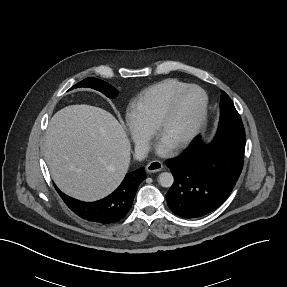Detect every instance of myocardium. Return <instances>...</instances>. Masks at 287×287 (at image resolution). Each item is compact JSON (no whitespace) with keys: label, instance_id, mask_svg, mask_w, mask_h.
<instances>
[{"label":"myocardium","instance_id":"f54148a6","mask_svg":"<svg viewBox=\"0 0 287 287\" xmlns=\"http://www.w3.org/2000/svg\"><path fill=\"white\" fill-rule=\"evenodd\" d=\"M189 91H198L201 94L202 102H201L200 112H199L197 120L195 121L191 129L188 131V133L177 143L168 146L172 151H178L188 146L192 142V140L197 136V134L200 132L207 118V112H208L207 94L201 87L197 85H187L184 88L178 90L176 93H174L172 97L170 98L166 108L164 109L161 117L159 118L154 128L156 139L161 141L162 133L167 123L169 122L171 116L174 113L177 102L184 94H186Z\"/></svg>","mask_w":287,"mask_h":287}]
</instances>
